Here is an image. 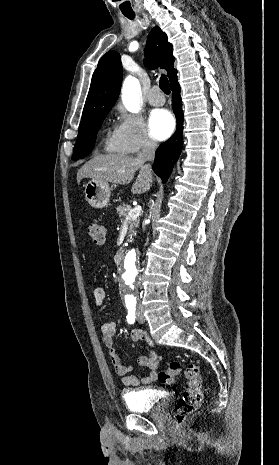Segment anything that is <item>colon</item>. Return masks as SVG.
Here are the masks:
<instances>
[{
	"mask_svg": "<svg viewBox=\"0 0 279 465\" xmlns=\"http://www.w3.org/2000/svg\"><path fill=\"white\" fill-rule=\"evenodd\" d=\"M90 239L97 245L103 244L106 228L102 224L93 223L87 229ZM182 371V365L172 361L167 370L159 372L158 380L163 384H171L174 377ZM187 384L177 402L176 425L181 427L187 417L192 414L202 402L203 393L200 377V369L196 363H189L184 370Z\"/></svg>",
	"mask_w": 279,
	"mask_h": 465,
	"instance_id": "5ec220e1",
	"label": "colon"
}]
</instances>
